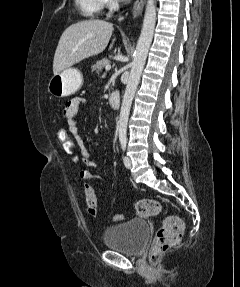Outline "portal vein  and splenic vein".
Masks as SVG:
<instances>
[{
  "mask_svg": "<svg viewBox=\"0 0 240 287\" xmlns=\"http://www.w3.org/2000/svg\"><path fill=\"white\" fill-rule=\"evenodd\" d=\"M110 69H111V65H106V66H105L106 72L109 71Z\"/></svg>",
  "mask_w": 240,
  "mask_h": 287,
  "instance_id": "portal-vein-and-splenic-vein-1",
  "label": "portal vein and splenic vein"
}]
</instances>
